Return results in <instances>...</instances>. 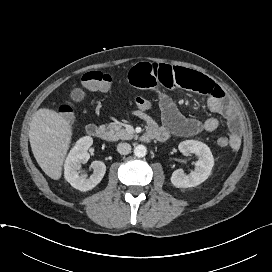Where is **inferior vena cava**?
<instances>
[{
	"instance_id": "obj_1",
	"label": "inferior vena cava",
	"mask_w": 272,
	"mask_h": 272,
	"mask_svg": "<svg viewBox=\"0 0 272 272\" xmlns=\"http://www.w3.org/2000/svg\"><path fill=\"white\" fill-rule=\"evenodd\" d=\"M117 151L121 155H127L131 151V145L129 143H119L117 145Z\"/></svg>"
}]
</instances>
